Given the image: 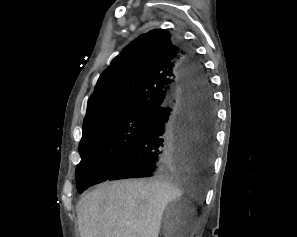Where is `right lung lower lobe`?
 <instances>
[{
  "mask_svg": "<svg viewBox=\"0 0 297 237\" xmlns=\"http://www.w3.org/2000/svg\"><path fill=\"white\" fill-rule=\"evenodd\" d=\"M182 83L141 136L97 183L172 173H207L214 151L215 110L202 65L181 39Z\"/></svg>",
  "mask_w": 297,
  "mask_h": 237,
  "instance_id": "98d812e1",
  "label": "right lung lower lobe"
}]
</instances>
